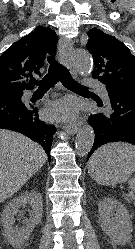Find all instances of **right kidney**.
Listing matches in <instances>:
<instances>
[{"label":"right kidney","mask_w":135,"mask_h":249,"mask_svg":"<svg viewBox=\"0 0 135 249\" xmlns=\"http://www.w3.org/2000/svg\"><path fill=\"white\" fill-rule=\"evenodd\" d=\"M25 205H30L32 210L29 218L23 221L26 226L18 229L14 226L15 216L18 214L19 208L22 206L25 207ZM42 212V196L35 191L24 192L7 204L2 213L1 221L4 228V235L12 247L20 249L24 245L35 226L41 222Z\"/></svg>","instance_id":"ca27d5eb"}]
</instances>
